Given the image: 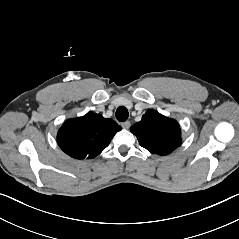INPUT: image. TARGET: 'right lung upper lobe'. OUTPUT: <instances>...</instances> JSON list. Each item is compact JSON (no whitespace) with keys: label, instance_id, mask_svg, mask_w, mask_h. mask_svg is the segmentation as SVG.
<instances>
[{"label":"right lung upper lobe","instance_id":"obj_1","mask_svg":"<svg viewBox=\"0 0 239 239\" xmlns=\"http://www.w3.org/2000/svg\"><path fill=\"white\" fill-rule=\"evenodd\" d=\"M121 127L112 119L89 112L64 122L57 134L60 148L76 159L94 158L105 149Z\"/></svg>","mask_w":239,"mask_h":239}]
</instances>
